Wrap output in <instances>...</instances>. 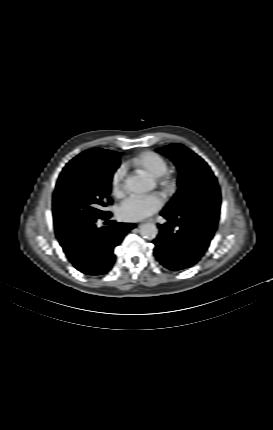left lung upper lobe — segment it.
I'll use <instances>...</instances> for the list:
<instances>
[{
	"label": "left lung upper lobe",
	"instance_id": "5c2ea615",
	"mask_svg": "<svg viewBox=\"0 0 273 430\" xmlns=\"http://www.w3.org/2000/svg\"><path fill=\"white\" fill-rule=\"evenodd\" d=\"M157 151L174 161L179 170V189L164 210L175 213L179 218L189 216L197 203L206 201L203 197L220 202L217 179L197 154L181 144H171Z\"/></svg>",
	"mask_w": 273,
	"mask_h": 430
}]
</instances>
